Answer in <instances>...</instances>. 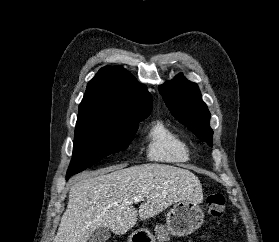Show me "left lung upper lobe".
I'll list each match as a JSON object with an SVG mask.
<instances>
[{"mask_svg":"<svg viewBox=\"0 0 279 242\" xmlns=\"http://www.w3.org/2000/svg\"><path fill=\"white\" fill-rule=\"evenodd\" d=\"M159 92L172 115L200 140L212 146L211 114L202 101L197 84L178 74L173 80L160 85Z\"/></svg>","mask_w":279,"mask_h":242,"instance_id":"left-lung-upper-lobe-1","label":"left lung upper lobe"}]
</instances>
